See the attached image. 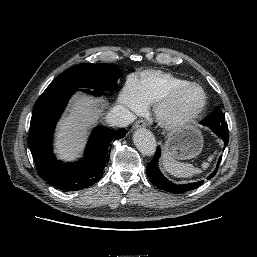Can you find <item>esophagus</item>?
Returning <instances> with one entry per match:
<instances>
[{
    "label": "esophagus",
    "instance_id": "34e87169",
    "mask_svg": "<svg viewBox=\"0 0 257 257\" xmlns=\"http://www.w3.org/2000/svg\"><path fill=\"white\" fill-rule=\"evenodd\" d=\"M142 127H145V122L143 120H138L133 125V129H138V128H142Z\"/></svg>",
    "mask_w": 257,
    "mask_h": 257
}]
</instances>
